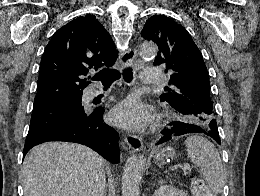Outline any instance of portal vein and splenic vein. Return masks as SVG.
Returning <instances> with one entry per match:
<instances>
[{
  "label": "portal vein and splenic vein",
  "instance_id": "1",
  "mask_svg": "<svg viewBox=\"0 0 260 196\" xmlns=\"http://www.w3.org/2000/svg\"><path fill=\"white\" fill-rule=\"evenodd\" d=\"M177 168H181V170H183L184 174H187V170H190L189 164H184V166H177Z\"/></svg>",
  "mask_w": 260,
  "mask_h": 196
}]
</instances>
